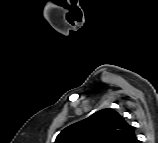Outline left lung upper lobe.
Listing matches in <instances>:
<instances>
[{
    "label": "left lung upper lobe",
    "mask_w": 158,
    "mask_h": 143,
    "mask_svg": "<svg viewBox=\"0 0 158 143\" xmlns=\"http://www.w3.org/2000/svg\"><path fill=\"white\" fill-rule=\"evenodd\" d=\"M134 129L114 109L106 108L74 123L57 136L55 143H136Z\"/></svg>",
    "instance_id": "5c2ea615"
}]
</instances>
